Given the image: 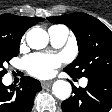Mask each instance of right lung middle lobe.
<instances>
[{
	"label": "right lung middle lobe",
	"mask_w": 112,
	"mask_h": 112,
	"mask_svg": "<svg viewBox=\"0 0 112 112\" xmlns=\"http://www.w3.org/2000/svg\"><path fill=\"white\" fill-rule=\"evenodd\" d=\"M20 40L0 39V79L7 73L4 64L9 62L19 51Z\"/></svg>",
	"instance_id": "obj_1"
}]
</instances>
